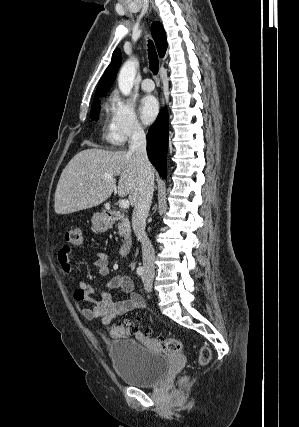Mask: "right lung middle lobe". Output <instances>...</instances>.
Segmentation results:
<instances>
[{"label": "right lung middle lobe", "instance_id": "obj_1", "mask_svg": "<svg viewBox=\"0 0 299 427\" xmlns=\"http://www.w3.org/2000/svg\"><path fill=\"white\" fill-rule=\"evenodd\" d=\"M97 98H94L93 103H92V109H91V116L93 117V119H97V114L100 110V100Z\"/></svg>", "mask_w": 299, "mask_h": 427}]
</instances>
